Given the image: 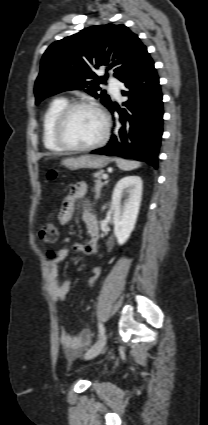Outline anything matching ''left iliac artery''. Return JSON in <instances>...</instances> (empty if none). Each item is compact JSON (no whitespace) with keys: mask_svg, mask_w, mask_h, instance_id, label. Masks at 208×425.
<instances>
[{"mask_svg":"<svg viewBox=\"0 0 208 425\" xmlns=\"http://www.w3.org/2000/svg\"><path fill=\"white\" fill-rule=\"evenodd\" d=\"M99 335L102 336L104 334V327L101 323L98 324Z\"/></svg>","mask_w":208,"mask_h":425,"instance_id":"44dca946","label":"left iliac artery"}]
</instances>
